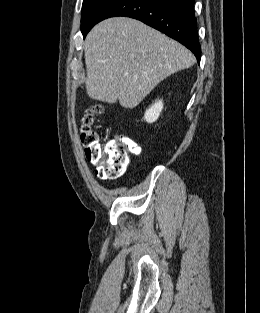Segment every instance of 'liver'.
<instances>
[{
  "label": "liver",
  "instance_id": "6515ba94",
  "mask_svg": "<svg viewBox=\"0 0 260 313\" xmlns=\"http://www.w3.org/2000/svg\"><path fill=\"white\" fill-rule=\"evenodd\" d=\"M90 98L136 107L163 79L195 63L191 51L142 22L114 17L98 23L84 43Z\"/></svg>",
  "mask_w": 260,
  "mask_h": 313
}]
</instances>
